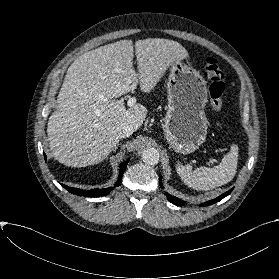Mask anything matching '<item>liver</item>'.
Here are the masks:
<instances>
[{
  "label": "liver",
  "instance_id": "obj_1",
  "mask_svg": "<svg viewBox=\"0 0 279 279\" xmlns=\"http://www.w3.org/2000/svg\"><path fill=\"white\" fill-rule=\"evenodd\" d=\"M135 54L138 73L131 40L88 51L68 68L58 110L47 124L49 147L60 163L85 167L103 161L116 149L122 129L138 130L147 115L143 105L126 109L118 98L133 92L138 82L150 92L172 63L188 57L180 43L160 38L136 41Z\"/></svg>",
  "mask_w": 279,
  "mask_h": 279
}]
</instances>
